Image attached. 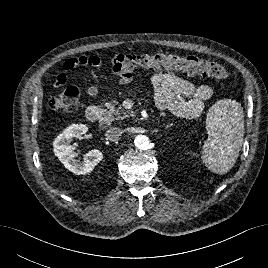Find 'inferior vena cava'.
<instances>
[{
  "mask_svg": "<svg viewBox=\"0 0 268 268\" xmlns=\"http://www.w3.org/2000/svg\"><path fill=\"white\" fill-rule=\"evenodd\" d=\"M122 130L118 127H110L106 133L105 136L108 140L116 142L120 139L122 136Z\"/></svg>",
  "mask_w": 268,
  "mask_h": 268,
  "instance_id": "inferior-vena-cava-1",
  "label": "inferior vena cava"
}]
</instances>
